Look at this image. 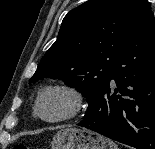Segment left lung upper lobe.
<instances>
[{
    "label": "left lung upper lobe",
    "mask_w": 155,
    "mask_h": 149,
    "mask_svg": "<svg viewBox=\"0 0 155 149\" xmlns=\"http://www.w3.org/2000/svg\"><path fill=\"white\" fill-rule=\"evenodd\" d=\"M149 13L147 0H89L71 10L29 84L43 78L61 79L90 102Z\"/></svg>",
    "instance_id": "5c2ea615"
}]
</instances>
